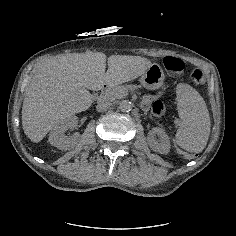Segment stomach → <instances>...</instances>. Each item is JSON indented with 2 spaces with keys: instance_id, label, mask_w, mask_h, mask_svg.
Returning a JSON list of instances; mask_svg holds the SVG:
<instances>
[{
  "instance_id": "obj_1",
  "label": "stomach",
  "mask_w": 236,
  "mask_h": 236,
  "mask_svg": "<svg viewBox=\"0 0 236 236\" xmlns=\"http://www.w3.org/2000/svg\"><path fill=\"white\" fill-rule=\"evenodd\" d=\"M164 78L162 68L154 64L142 75L141 84L147 89L155 90L163 85Z\"/></svg>"
}]
</instances>
